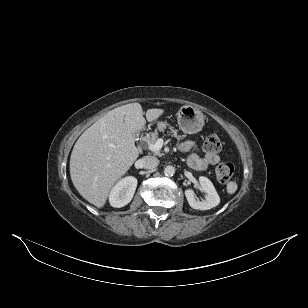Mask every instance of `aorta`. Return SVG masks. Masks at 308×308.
Wrapping results in <instances>:
<instances>
[{"mask_svg":"<svg viewBox=\"0 0 308 308\" xmlns=\"http://www.w3.org/2000/svg\"><path fill=\"white\" fill-rule=\"evenodd\" d=\"M164 174L166 176H173L175 174V168L171 165H168L164 169Z\"/></svg>","mask_w":308,"mask_h":308,"instance_id":"aorta-1","label":"aorta"}]
</instances>
